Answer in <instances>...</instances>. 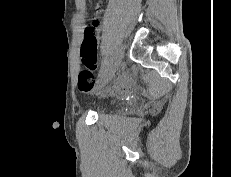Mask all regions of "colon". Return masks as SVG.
Returning <instances> with one entry per match:
<instances>
[{"mask_svg":"<svg viewBox=\"0 0 231 177\" xmlns=\"http://www.w3.org/2000/svg\"><path fill=\"white\" fill-rule=\"evenodd\" d=\"M97 44L98 38L95 30L89 26L84 33L80 50L83 67L79 72L78 87L83 92H88L95 86L94 71L97 67Z\"/></svg>","mask_w":231,"mask_h":177,"instance_id":"5ec220e1","label":"colon"}]
</instances>
